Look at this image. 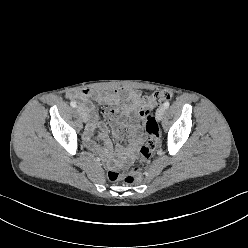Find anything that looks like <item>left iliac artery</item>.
I'll list each match as a JSON object with an SVG mask.
<instances>
[{
    "label": "left iliac artery",
    "instance_id": "left-iliac-artery-1",
    "mask_svg": "<svg viewBox=\"0 0 248 248\" xmlns=\"http://www.w3.org/2000/svg\"><path fill=\"white\" fill-rule=\"evenodd\" d=\"M170 103L167 101L163 104V106L167 109L169 107Z\"/></svg>",
    "mask_w": 248,
    "mask_h": 248
}]
</instances>
